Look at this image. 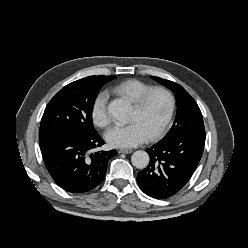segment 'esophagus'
<instances>
[{"label": "esophagus", "mask_w": 248, "mask_h": 248, "mask_svg": "<svg viewBox=\"0 0 248 248\" xmlns=\"http://www.w3.org/2000/svg\"><path fill=\"white\" fill-rule=\"evenodd\" d=\"M132 152L133 151L131 149H119L118 150V153H120V154H130Z\"/></svg>", "instance_id": "1"}]
</instances>
